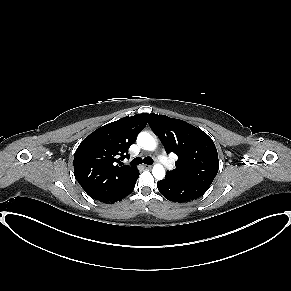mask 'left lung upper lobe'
Here are the masks:
<instances>
[{"label":"left lung upper lobe","mask_w":291,"mask_h":291,"mask_svg":"<svg viewBox=\"0 0 291 291\" xmlns=\"http://www.w3.org/2000/svg\"><path fill=\"white\" fill-rule=\"evenodd\" d=\"M149 125L166 152L178 156L176 169L167 171V175L209 187L219 169L213 140L199 128L165 115L149 114Z\"/></svg>","instance_id":"5c2ea615"}]
</instances>
